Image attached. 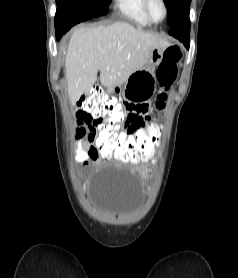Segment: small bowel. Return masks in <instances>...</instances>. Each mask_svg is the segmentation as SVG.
<instances>
[{
  "mask_svg": "<svg viewBox=\"0 0 238 278\" xmlns=\"http://www.w3.org/2000/svg\"><path fill=\"white\" fill-rule=\"evenodd\" d=\"M149 107L146 103H135L131 104V108L128 111L127 118L121 126L122 131H126V136L120 137H134L136 130H158V129H147L146 125L150 124ZM96 125L89 126V132L86 139V146L80 147L77 152V158L83 165H88L90 161H97L98 152L97 146L95 145L96 139ZM152 135H147L150 137ZM157 137V135H153ZM108 160V159H105ZM137 163V162H129Z\"/></svg>",
  "mask_w": 238,
  "mask_h": 278,
  "instance_id": "obj_1",
  "label": "small bowel"
}]
</instances>
